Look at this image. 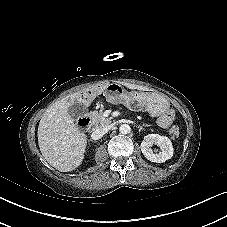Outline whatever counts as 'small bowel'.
<instances>
[{
	"label": "small bowel",
	"instance_id": "small-bowel-1",
	"mask_svg": "<svg viewBox=\"0 0 227 227\" xmlns=\"http://www.w3.org/2000/svg\"><path fill=\"white\" fill-rule=\"evenodd\" d=\"M95 92L98 93L99 90L96 89ZM172 118H173V116H172V113H170V112H168V113L162 115V116L158 119V124H159V126H161V127H163V128L168 127L169 124H170L171 121H172Z\"/></svg>",
	"mask_w": 227,
	"mask_h": 227
}]
</instances>
